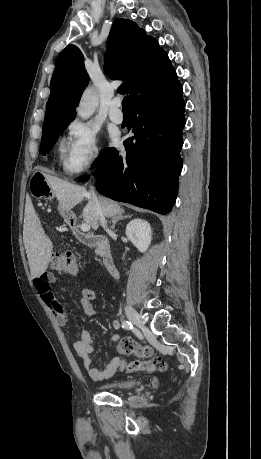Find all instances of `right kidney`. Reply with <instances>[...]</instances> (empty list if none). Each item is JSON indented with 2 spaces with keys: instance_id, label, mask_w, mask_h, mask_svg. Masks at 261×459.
Here are the masks:
<instances>
[{
  "instance_id": "ca27d5eb",
  "label": "right kidney",
  "mask_w": 261,
  "mask_h": 459,
  "mask_svg": "<svg viewBox=\"0 0 261 459\" xmlns=\"http://www.w3.org/2000/svg\"><path fill=\"white\" fill-rule=\"evenodd\" d=\"M126 236L140 252H146L152 240L150 224L142 219H134L126 227Z\"/></svg>"
}]
</instances>
